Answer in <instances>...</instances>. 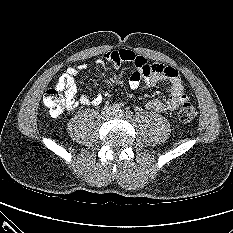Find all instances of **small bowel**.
<instances>
[{"mask_svg":"<svg viewBox=\"0 0 233 233\" xmlns=\"http://www.w3.org/2000/svg\"><path fill=\"white\" fill-rule=\"evenodd\" d=\"M103 59L111 62L116 68L121 63L129 62L135 66V70L130 74L128 86L135 90L141 86L157 87L163 82L170 84V94L166 100L152 99L146 103V108L155 112L174 111L184 102H187L188 97L184 93V87L179 77L178 71L170 66H165L158 63H149L147 59L135 52L127 49L111 50L103 54ZM102 60H98L100 64ZM87 68L85 64L76 67H69L66 72L59 78L57 87L65 91L68 100L67 107L72 109L82 105L98 106L102 103V95L90 97L82 94L79 100L75 99L78 91L76 77L80 71Z\"/></svg>","mask_w":233,"mask_h":233,"instance_id":"c3829d8e","label":"small bowel"}]
</instances>
